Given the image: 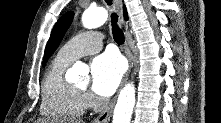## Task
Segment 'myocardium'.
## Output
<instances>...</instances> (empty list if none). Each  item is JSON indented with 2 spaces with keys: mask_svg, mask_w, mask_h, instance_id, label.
<instances>
[{
  "mask_svg": "<svg viewBox=\"0 0 221 123\" xmlns=\"http://www.w3.org/2000/svg\"><path fill=\"white\" fill-rule=\"evenodd\" d=\"M76 88H77V90H78L79 92H81L82 94L86 92V89H82V88H79V87H76Z\"/></svg>",
  "mask_w": 221,
  "mask_h": 123,
  "instance_id": "1",
  "label": "myocardium"
}]
</instances>
